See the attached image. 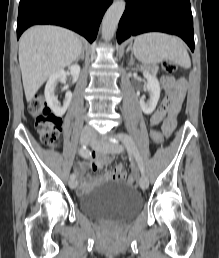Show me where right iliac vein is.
Masks as SVG:
<instances>
[{"instance_id": "63e3f726", "label": "right iliac vein", "mask_w": 219, "mask_h": 258, "mask_svg": "<svg viewBox=\"0 0 219 258\" xmlns=\"http://www.w3.org/2000/svg\"><path fill=\"white\" fill-rule=\"evenodd\" d=\"M91 137H92V134H91V132L90 131H88V130H83L82 132H81V135H80V142H81V144L82 145H88V143L90 142V140H91ZM68 184H69V187L71 188V189H74V188H76V186H77V181L75 180V179H70L69 180V182H68Z\"/></svg>"}]
</instances>
